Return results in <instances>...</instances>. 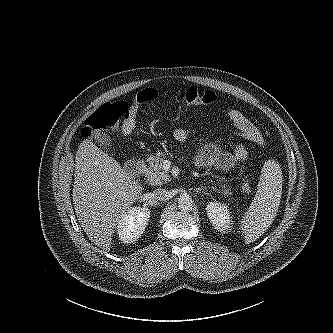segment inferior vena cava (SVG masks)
Returning <instances> with one entry per match:
<instances>
[{
	"label": "inferior vena cava",
	"mask_w": 333,
	"mask_h": 333,
	"mask_svg": "<svg viewBox=\"0 0 333 333\" xmlns=\"http://www.w3.org/2000/svg\"><path fill=\"white\" fill-rule=\"evenodd\" d=\"M152 197H153V199L158 200V201H166L169 199L170 194L167 190L158 188L153 191Z\"/></svg>",
	"instance_id": "1"
}]
</instances>
